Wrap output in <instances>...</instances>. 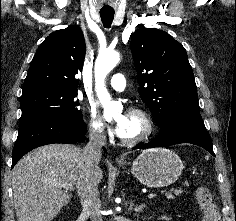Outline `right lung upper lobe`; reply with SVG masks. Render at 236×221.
I'll return each instance as SVG.
<instances>
[{"label": "right lung upper lobe", "mask_w": 236, "mask_h": 221, "mask_svg": "<svg viewBox=\"0 0 236 221\" xmlns=\"http://www.w3.org/2000/svg\"><path fill=\"white\" fill-rule=\"evenodd\" d=\"M86 46L83 33L77 25L51 33L38 47L22 94L41 89L77 91Z\"/></svg>", "instance_id": "obj_1"}]
</instances>
